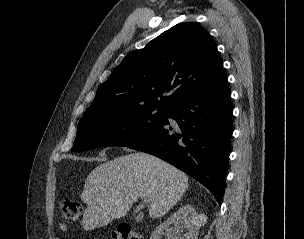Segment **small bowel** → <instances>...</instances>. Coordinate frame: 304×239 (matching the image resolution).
Returning <instances> with one entry per match:
<instances>
[{"label":"small bowel","mask_w":304,"mask_h":239,"mask_svg":"<svg viewBox=\"0 0 304 239\" xmlns=\"http://www.w3.org/2000/svg\"><path fill=\"white\" fill-rule=\"evenodd\" d=\"M58 228L61 232H66L67 231V226L64 223H59ZM54 239H60L58 237L54 238Z\"/></svg>","instance_id":"small-bowel-1"}]
</instances>
